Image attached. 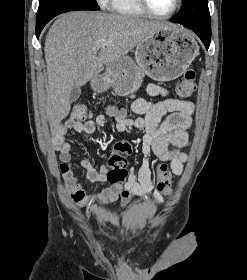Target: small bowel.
I'll list each match as a JSON object with an SVG mask.
<instances>
[{"label": "small bowel", "mask_w": 247, "mask_h": 280, "mask_svg": "<svg viewBox=\"0 0 247 280\" xmlns=\"http://www.w3.org/2000/svg\"><path fill=\"white\" fill-rule=\"evenodd\" d=\"M146 91L150 96H163L164 100L152 102L137 98L132 103V111L136 118L111 114L118 132L135 129L143 132V160L139 168H131L124 186L118 191H110L108 187L99 193L86 194L75 176L72 163L71 145L66 136L69 130L76 133L93 134L97 127H105L108 118L99 114L95 119L85 122L73 118L59 124L53 133V144L62 162L61 170L67 191L73 201L81 207L108 206L120 199L121 207H126L136 197L152 195L156 202H162V196L153 192L151 179L150 156L154 155L162 164H168L174 175H180L187 154L183 151L189 144L188 129L191 127V115L194 104L190 101L169 98L168 91L157 84H148ZM173 146V148H169ZM90 182H108L109 168L106 164H98L85 158L80 161ZM170 173V172H169ZM171 176V173H170Z\"/></svg>", "instance_id": "1"}]
</instances>
